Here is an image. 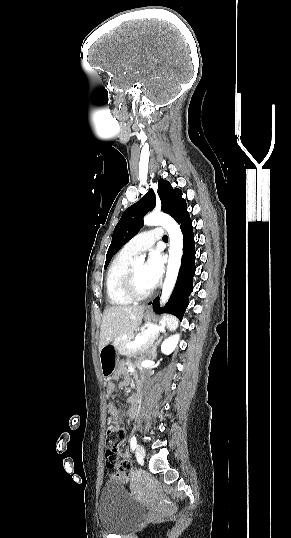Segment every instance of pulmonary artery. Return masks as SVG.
Here are the masks:
<instances>
[{
	"label": "pulmonary artery",
	"mask_w": 291,
	"mask_h": 538,
	"mask_svg": "<svg viewBox=\"0 0 291 538\" xmlns=\"http://www.w3.org/2000/svg\"><path fill=\"white\" fill-rule=\"evenodd\" d=\"M164 230L162 228H154L143 232L132 238L124 249L134 255L150 249L154 243L163 238Z\"/></svg>",
	"instance_id": "pulmonary-artery-1"
}]
</instances>
